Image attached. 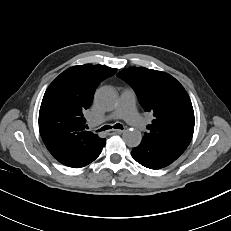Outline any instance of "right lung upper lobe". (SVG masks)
I'll use <instances>...</instances> for the list:
<instances>
[{"label":"right lung upper lobe","mask_w":231,"mask_h":231,"mask_svg":"<svg viewBox=\"0 0 231 231\" xmlns=\"http://www.w3.org/2000/svg\"><path fill=\"white\" fill-rule=\"evenodd\" d=\"M115 73L116 69L102 65L73 66L49 85L39 111V130L47 149L60 163L76 166L105 143L85 130L84 113L100 82Z\"/></svg>","instance_id":"1"}]
</instances>
